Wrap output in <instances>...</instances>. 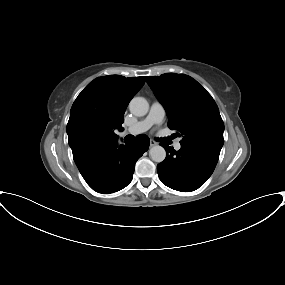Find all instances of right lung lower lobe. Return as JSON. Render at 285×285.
I'll return each mask as SVG.
<instances>
[{"label": "right lung lower lobe", "mask_w": 285, "mask_h": 285, "mask_svg": "<svg viewBox=\"0 0 285 285\" xmlns=\"http://www.w3.org/2000/svg\"><path fill=\"white\" fill-rule=\"evenodd\" d=\"M149 142L146 135L137 136L127 145H119L115 140L86 150L75 157L74 161L93 190L113 193L131 182L135 163L148 150Z\"/></svg>", "instance_id": "obj_1"}]
</instances>
